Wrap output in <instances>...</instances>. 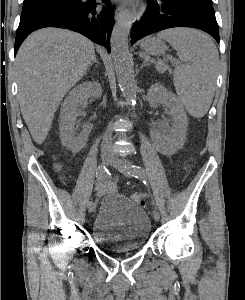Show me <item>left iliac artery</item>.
Listing matches in <instances>:
<instances>
[{
    "label": "left iliac artery",
    "instance_id": "44dca946",
    "mask_svg": "<svg viewBox=\"0 0 245 300\" xmlns=\"http://www.w3.org/2000/svg\"><path fill=\"white\" fill-rule=\"evenodd\" d=\"M132 168L135 178L141 179L146 175V172L142 167L133 165Z\"/></svg>",
    "mask_w": 245,
    "mask_h": 300
}]
</instances>
